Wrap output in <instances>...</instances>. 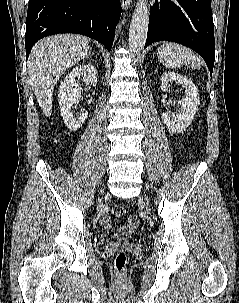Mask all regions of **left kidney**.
<instances>
[{
    "label": "left kidney",
    "mask_w": 239,
    "mask_h": 303,
    "mask_svg": "<svg viewBox=\"0 0 239 303\" xmlns=\"http://www.w3.org/2000/svg\"><path fill=\"white\" fill-rule=\"evenodd\" d=\"M173 82L185 88V97L179 101L181 106L179 113L171 115L168 111L163 112L162 120L171 132L181 133L191 124L200 105V99L198 90L192 81L171 71L162 75L161 90L168 92L170 84Z\"/></svg>",
    "instance_id": "1"
}]
</instances>
